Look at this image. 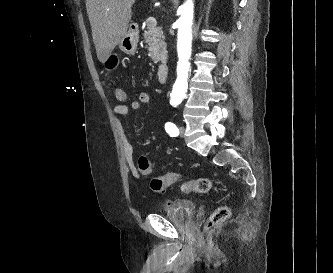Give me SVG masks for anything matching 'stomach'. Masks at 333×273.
<instances>
[{
    "label": "stomach",
    "mask_w": 333,
    "mask_h": 273,
    "mask_svg": "<svg viewBox=\"0 0 333 273\" xmlns=\"http://www.w3.org/2000/svg\"><path fill=\"white\" fill-rule=\"evenodd\" d=\"M138 43V32L134 28H129L126 34L122 37L121 41L119 42V48L128 55H133L136 52ZM115 62L108 57L105 61V66L107 68L113 67Z\"/></svg>",
    "instance_id": "0dacf381"
}]
</instances>
